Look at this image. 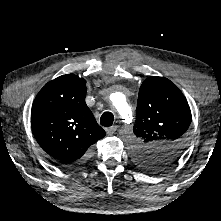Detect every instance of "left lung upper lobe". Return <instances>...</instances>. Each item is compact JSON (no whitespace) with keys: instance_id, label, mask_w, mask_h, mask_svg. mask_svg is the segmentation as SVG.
Returning a JSON list of instances; mask_svg holds the SVG:
<instances>
[{"instance_id":"left-lung-upper-lobe-1","label":"left lung upper lobe","mask_w":221,"mask_h":221,"mask_svg":"<svg viewBox=\"0 0 221 221\" xmlns=\"http://www.w3.org/2000/svg\"><path fill=\"white\" fill-rule=\"evenodd\" d=\"M191 111L182 92L167 78L149 77L141 85L133 131L138 146L134 159L161 171L180 157L187 140Z\"/></svg>"}]
</instances>
